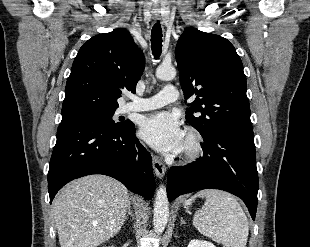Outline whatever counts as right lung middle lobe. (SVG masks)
<instances>
[{
    "instance_id": "right-lung-middle-lobe-1",
    "label": "right lung middle lobe",
    "mask_w": 310,
    "mask_h": 247,
    "mask_svg": "<svg viewBox=\"0 0 310 247\" xmlns=\"http://www.w3.org/2000/svg\"><path fill=\"white\" fill-rule=\"evenodd\" d=\"M116 109H106L91 106H78L67 110H62V123L71 121H99L109 122L116 128H122L128 124V122H114L112 116Z\"/></svg>"
}]
</instances>
